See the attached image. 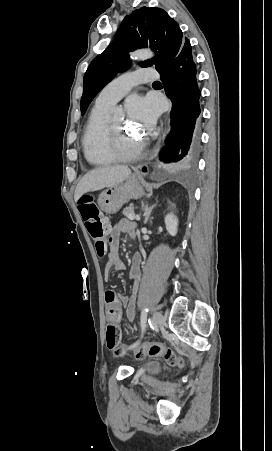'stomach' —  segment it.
Segmentation results:
<instances>
[{
	"mask_svg": "<svg viewBox=\"0 0 272 451\" xmlns=\"http://www.w3.org/2000/svg\"><path fill=\"white\" fill-rule=\"evenodd\" d=\"M142 176H131L126 178L125 182H119L110 186L107 190H104L98 198V206L105 214H116L123 204H127L129 200H137L142 198L145 192L140 184L142 182Z\"/></svg>",
	"mask_w": 272,
	"mask_h": 451,
	"instance_id": "1",
	"label": "stomach"
}]
</instances>
